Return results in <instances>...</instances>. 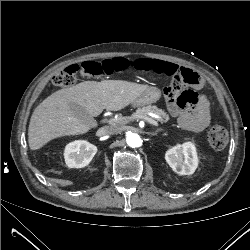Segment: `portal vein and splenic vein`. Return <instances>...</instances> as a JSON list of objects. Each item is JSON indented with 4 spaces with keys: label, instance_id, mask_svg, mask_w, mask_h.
Segmentation results:
<instances>
[{
    "label": "portal vein and splenic vein",
    "instance_id": "obj_1",
    "mask_svg": "<svg viewBox=\"0 0 250 250\" xmlns=\"http://www.w3.org/2000/svg\"><path fill=\"white\" fill-rule=\"evenodd\" d=\"M152 117L155 118V119H161V117L159 115H155V114ZM131 118L132 117H129L128 119H131ZM122 119H124V118H122ZM139 119H143V120L149 122L150 124H152L154 126H157V127L159 126L157 121H155L154 119H152V118H150L148 116H141ZM115 121H116L115 119H112V120H109V123L114 124Z\"/></svg>",
    "mask_w": 250,
    "mask_h": 250
}]
</instances>
